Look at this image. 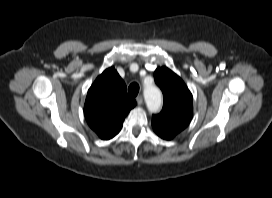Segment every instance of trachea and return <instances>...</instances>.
Wrapping results in <instances>:
<instances>
[{
    "mask_svg": "<svg viewBox=\"0 0 272 198\" xmlns=\"http://www.w3.org/2000/svg\"><path fill=\"white\" fill-rule=\"evenodd\" d=\"M128 92L131 96L136 97L139 92V85L137 83H132L128 87Z\"/></svg>",
    "mask_w": 272,
    "mask_h": 198,
    "instance_id": "obj_1",
    "label": "trachea"
}]
</instances>
